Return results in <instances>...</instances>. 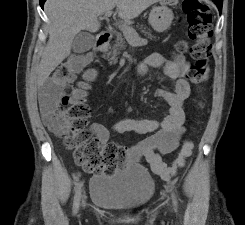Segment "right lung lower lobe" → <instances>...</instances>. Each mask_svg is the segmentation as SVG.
Segmentation results:
<instances>
[{"mask_svg":"<svg viewBox=\"0 0 245 225\" xmlns=\"http://www.w3.org/2000/svg\"><path fill=\"white\" fill-rule=\"evenodd\" d=\"M46 0H40V6H41V8L43 9V6H44V2H45Z\"/></svg>","mask_w":245,"mask_h":225,"instance_id":"obj_1","label":"right lung lower lobe"}]
</instances>
